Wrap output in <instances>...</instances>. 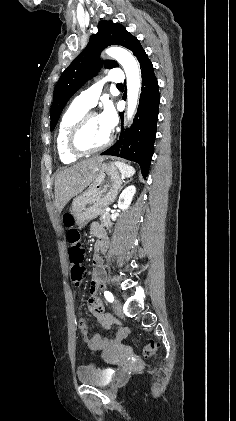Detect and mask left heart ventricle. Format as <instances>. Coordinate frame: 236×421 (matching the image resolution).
<instances>
[{"label": "left heart ventricle", "mask_w": 236, "mask_h": 421, "mask_svg": "<svg viewBox=\"0 0 236 421\" xmlns=\"http://www.w3.org/2000/svg\"><path fill=\"white\" fill-rule=\"evenodd\" d=\"M99 115L91 116L84 124L80 133L81 145L85 148H92L102 144L109 136Z\"/></svg>", "instance_id": "left-heart-ventricle-1"}]
</instances>
